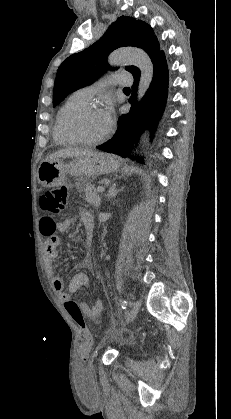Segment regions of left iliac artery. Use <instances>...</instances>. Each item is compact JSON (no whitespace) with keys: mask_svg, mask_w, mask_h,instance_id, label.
I'll return each mask as SVG.
<instances>
[{"mask_svg":"<svg viewBox=\"0 0 231 419\" xmlns=\"http://www.w3.org/2000/svg\"><path fill=\"white\" fill-rule=\"evenodd\" d=\"M127 306H128L127 301L123 300V301L121 302V307H122L123 309H126V308H127Z\"/></svg>","mask_w":231,"mask_h":419,"instance_id":"44dca946","label":"left iliac artery"}]
</instances>
